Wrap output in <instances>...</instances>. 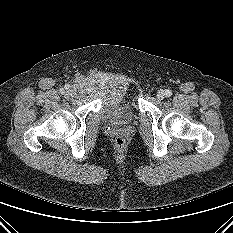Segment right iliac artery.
<instances>
[{
  "label": "right iliac artery",
  "instance_id": "1",
  "mask_svg": "<svg viewBox=\"0 0 233 233\" xmlns=\"http://www.w3.org/2000/svg\"><path fill=\"white\" fill-rule=\"evenodd\" d=\"M68 87H69V86L66 85V86H65V89H68ZM65 89H64V88H61V89H60V93H61V94H64V93H65Z\"/></svg>",
  "mask_w": 233,
  "mask_h": 233
}]
</instances>
